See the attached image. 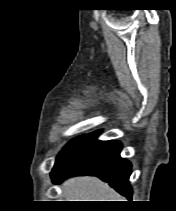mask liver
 Masks as SVG:
<instances>
[{
  "mask_svg": "<svg viewBox=\"0 0 176 211\" xmlns=\"http://www.w3.org/2000/svg\"><path fill=\"white\" fill-rule=\"evenodd\" d=\"M66 201H124L115 190L97 177H75L63 184Z\"/></svg>",
  "mask_w": 176,
  "mask_h": 211,
  "instance_id": "6515ba94",
  "label": "liver"
}]
</instances>
